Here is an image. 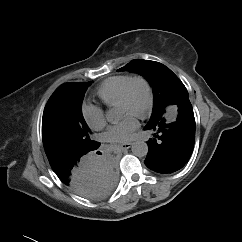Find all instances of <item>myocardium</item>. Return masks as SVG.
Segmentation results:
<instances>
[{"mask_svg":"<svg viewBox=\"0 0 242 242\" xmlns=\"http://www.w3.org/2000/svg\"><path fill=\"white\" fill-rule=\"evenodd\" d=\"M136 83H142L146 89V94H147L146 104H145L144 108L136 114V116L138 118L145 119L148 116H150V114L153 110V106H154L153 87H152V84L150 83V81L146 77H144V76L132 77L129 80V82L126 84V86L124 87L117 105L127 104L129 102L132 88Z\"/></svg>","mask_w":242,"mask_h":242,"instance_id":"obj_1","label":"myocardium"}]
</instances>
